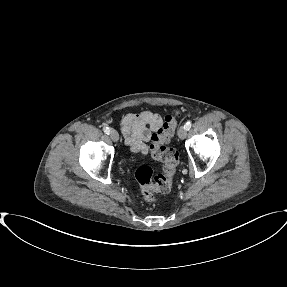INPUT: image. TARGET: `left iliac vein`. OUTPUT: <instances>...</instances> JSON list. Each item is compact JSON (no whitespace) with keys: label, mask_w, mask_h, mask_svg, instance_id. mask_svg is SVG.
Here are the masks:
<instances>
[{"label":"left iliac vein","mask_w":287,"mask_h":287,"mask_svg":"<svg viewBox=\"0 0 287 287\" xmlns=\"http://www.w3.org/2000/svg\"><path fill=\"white\" fill-rule=\"evenodd\" d=\"M187 135V130L185 129L184 126H181L178 130V136L180 139H185Z\"/></svg>","instance_id":"obj_1"}]
</instances>
